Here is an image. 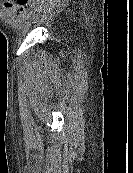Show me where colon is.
Here are the masks:
<instances>
[{
    "label": "colon",
    "mask_w": 133,
    "mask_h": 173,
    "mask_svg": "<svg viewBox=\"0 0 133 173\" xmlns=\"http://www.w3.org/2000/svg\"><path fill=\"white\" fill-rule=\"evenodd\" d=\"M28 3V0H7L4 3V6L7 8H13V7H24Z\"/></svg>",
    "instance_id": "1"
}]
</instances>
